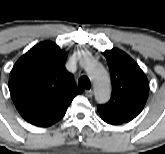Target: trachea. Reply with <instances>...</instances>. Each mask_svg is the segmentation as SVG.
Segmentation results:
<instances>
[{"label":"trachea","mask_w":165,"mask_h":154,"mask_svg":"<svg viewBox=\"0 0 165 154\" xmlns=\"http://www.w3.org/2000/svg\"><path fill=\"white\" fill-rule=\"evenodd\" d=\"M78 86L80 88L90 89L91 83H90L89 78L87 76H81L79 81H78Z\"/></svg>","instance_id":"trachea-1"}]
</instances>
